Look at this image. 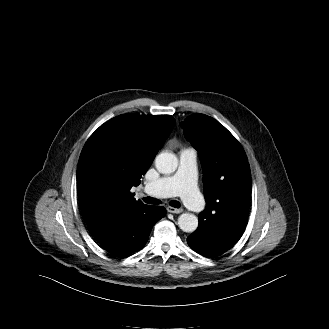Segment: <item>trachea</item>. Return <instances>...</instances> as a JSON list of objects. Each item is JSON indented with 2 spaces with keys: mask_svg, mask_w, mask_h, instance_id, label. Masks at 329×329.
Returning a JSON list of instances; mask_svg holds the SVG:
<instances>
[{
  "mask_svg": "<svg viewBox=\"0 0 329 329\" xmlns=\"http://www.w3.org/2000/svg\"><path fill=\"white\" fill-rule=\"evenodd\" d=\"M145 203H148V204H160L161 201L156 199V198H153V197H146L143 199ZM170 206L174 207V208H179L180 207V203L176 200H172L170 201Z\"/></svg>",
  "mask_w": 329,
  "mask_h": 329,
  "instance_id": "1",
  "label": "trachea"
}]
</instances>
